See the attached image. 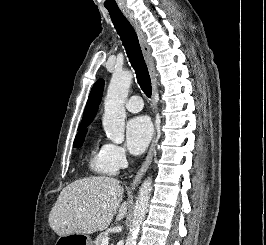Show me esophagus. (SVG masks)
Instances as JSON below:
<instances>
[{
  "instance_id": "1",
  "label": "esophagus",
  "mask_w": 266,
  "mask_h": 245,
  "mask_svg": "<svg viewBox=\"0 0 266 245\" xmlns=\"http://www.w3.org/2000/svg\"><path fill=\"white\" fill-rule=\"evenodd\" d=\"M125 16L129 19V22L131 23L132 27L134 28L137 37L139 39L140 42V46L142 48V52L145 58V61L147 63L149 72H150V77H151V81H152V101L153 104H155V98H156V93L158 91L157 88V73H156V69H155V64H154V60L153 57L151 55V48L148 45V42L146 40V35L143 32L140 23L138 22V20L134 17V15H132L130 12L125 13ZM156 112V108L154 110ZM156 145V136L152 142V144L150 145L147 157L145 158L140 170L137 172L132 184H131V188L134 189L135 187H137V185L140 183L143 175L146 173V170L148 169L152 158H153V150L155 148Z\"/></svg>"
}]
</instances>
